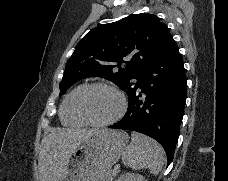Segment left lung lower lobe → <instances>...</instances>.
I'll use <instances>...</instances> for the list:
<instances>
[{"label": "left lung lower lobe", "instance_id": "left-lung-lower-lobe-1", "mask_svg": "<svg viewBox=\"0 0 228 181\" xmlns=\"http://www.w3.org/2000/svg\"><path fill=\"white\" fill-rule=\"evenodd\" d=\"M186 87L183 61L171 37L140 71L128 94L125 116L109 128L154 138L164 148L170 164L183 118Z\"/></svg>", "mask_w": 228, "mask_h": 181}]
</instances>
